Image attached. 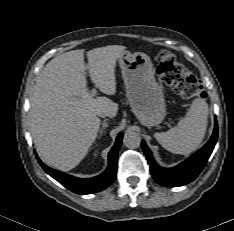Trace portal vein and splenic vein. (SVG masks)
Returning <instances> with one entry per match:
<instances>
[{"instance_id":"portal-vein-and-splenic-vein-1","label":"portal vein and splenic vein","mask_w":234,"mask_h":231,"mask_svg":"<svg viewBox=\"0 0 234 231\" xmlns=\"http://www.w3.org/2000/svg\"><path fill=\"white\" fill-rule=\"evenodd\" d=\"M97 94V90L96 89H92L90 92V96L94 97Z\"/></svg>"}]
</instances>
